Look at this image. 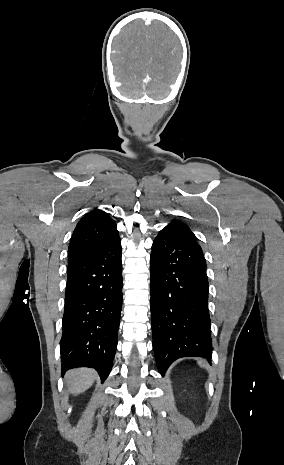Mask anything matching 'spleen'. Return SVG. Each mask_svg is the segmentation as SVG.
Listing matches in <instances>:
<instances>
[{
	"label": "spleen",
	"instance_id": "1",
	"mask_svg": "<svg viewBox=\"0 0 284 465\" xmlns=\"http://www.w3.org/2000/svg\"><path fill=\"white\" fill-rule=\"evenodd\" d=\"M198 365H201V367H205V365H202V361H198Z\"/></svg>",
	"mask_w": 284,
	"mask_h": 465
}]
</instances>
